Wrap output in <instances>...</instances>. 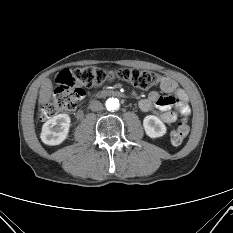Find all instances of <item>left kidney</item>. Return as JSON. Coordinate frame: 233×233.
I'll use <instances>...</instances> for the list:
<instances>
[{"instance_id": "obj_1", "label": "left kidney", "mask_w": 233, "mask_h": 233, "mask_svg": "<svg viewBox=\"0 0 233 233\" xmlns=\"http://www.w3.org/2000/svg\"><path fill=\"white\" fill-rule=\"evenodd\" d=\"M143 126L146 134L151 138L162 137L166 134L165 124L154 115H148L143 120Z\"/></svg>"}]
</instances>
